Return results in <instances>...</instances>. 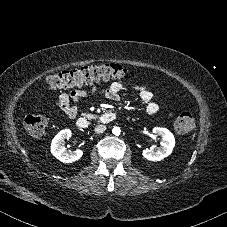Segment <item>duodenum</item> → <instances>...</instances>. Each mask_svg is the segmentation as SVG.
Returning a JSON list of instances; mask_svg holds the SVG:
<instances>
[{
    "label": "duodenum",
    "mask_w": 227,
    "mask_h": 227,
    "mask_svg": "<svg viewBox=\"0 0 227 227\" xmlns=\"http://www.w3.org/2000/svg\"><path fill=\"white\" fill-rule=\"evenodd\" d=\"M114 119V112H106L100 116L99 122L102 124H107L112 122ZM76 126L79 129H86L89 126V121L85 117H81L76 121Z\"/></svg>",
    "instance_id": "duodenum-1"
}]
</instances>
